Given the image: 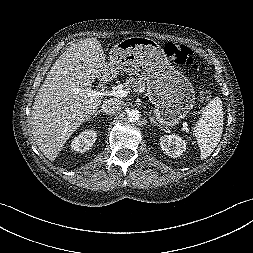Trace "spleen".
Wrapping results in <instances>:
<instances>
[{"mask_svg": "<svg viewBox=\"0 0 253 253\" xmlns=\"http://www.w3.org/2000/svg\"><path fill=\"white\" fill-rule=\"evenodd\" d=\"M223 132V107L219 97L213 98L204 108L194 129L201 159H206L220 142Z\"/></svg>", "mask_w": 253, "mask_h": 253, "instance_id": "spleen-1", "label": "spleen"}]
</instances>
